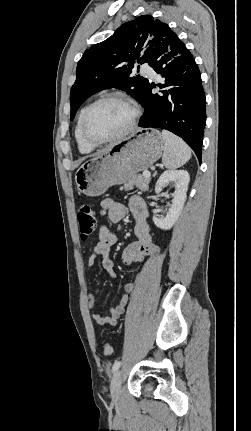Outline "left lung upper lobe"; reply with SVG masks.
I'll return each mask as SVG.
<instances>
[{"mask_svg":"<svg viewBox=\"0 0 251 431\" xmlns=\"http://www.w3.org/2000/svg\"><path fill=\"white\" fill-rule=\"evenodd\" d=\"M171 33L174 32L167 24L151 15H142L122 24L111 37L87 49L76 68V81L70 94V120L87 98L104 89L124 90L141 102L149 81L131 77L132 70L136 63H149L157 47Z\"/></svg>","mask_w":251,"mask_h":431,"instance_id":"obj_1","label":"left lung upper lobe"}]
</instances>
